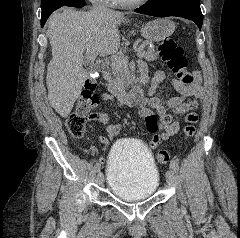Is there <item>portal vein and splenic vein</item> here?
Wrapping results in <instances>:
<instances>
[{
    "mask_svg": "<svg viewBox=\"0 0 240 238\" xmlns=\"http://www.w3.org/2000/svg\"><path fill=\"white\" fill-rule=\"evenodd\" d=\"M141 51H142V47L139 46V47L137 48V52H138V53H137V56H138L139 58L142 57ZM86 58H87L88 61H94V59L96 58V54L93 53V52H87ZM125 61H128V57H126ZM121 62H122L121 59H115V60L111 63V65H115V64H118V63H121Z\"/></svg>",
    "mask_w": 240,
    "mask_h": 238,
    "instance_id": "18ae733b",
    "label": "portal vein and splenic vein"
}]
</instances>
